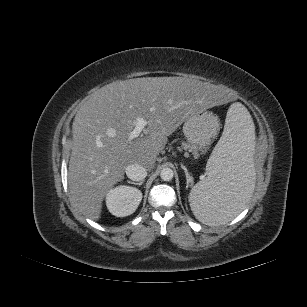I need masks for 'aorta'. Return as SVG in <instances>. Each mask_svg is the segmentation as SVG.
Segmentation results:
<instances>
[{"label": "aorta", "mask_w": 307, "mask_h": 307, "mask_svg": "<svg viewBox=\"0 0 307 307\" xmlns=\"http://www.w3.org/2000/svg\"><path fill=\"white\" fill-rule=\"evenodd\" d=\"M174 176L173 170L171 168H163L160 172V177L163 181H170Z\"/></svg>", "instance_id": "obj_1"}]
</instances>
